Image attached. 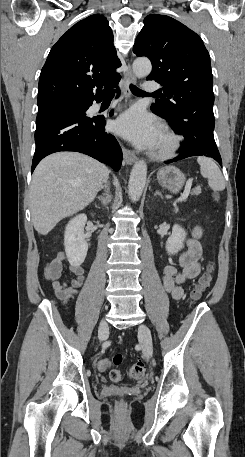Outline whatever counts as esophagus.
Listing matches in <instances>:
<instances>
[{"mask_svg":"<svg viewBox=\"0 0 245 457\" xmlns=\"http://www.w3.org/2000/svg\"><path fill=\"white\" fill-rule=\"evenodd\" d=\"M136 83V77L132 73L130 64L128 65V71L122 81V92L126 98H130V84ZM123 158L129 165H132L136 161V155L126 148H122Z\"/></svg>","mask_w":245,"mask_h":457,"instance_id":"obj_1","label":"esophagus"}]
</instances>
